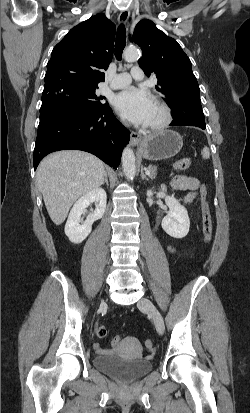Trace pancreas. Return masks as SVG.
<instances>
[{
  "mask_svg": "<svg viewBox=\"0 0 250 413\" xmlns=\"http://www.w3.org/2000/svg\"><path fill=\"white\" fill-rule=\"evenodd\" d=\"M147 170L150 171L149 177L151 179H154L156 177V174H157V167L153 166V165H150V166H148Z\"/></svg>",
  "mask_w": 250,
  "mask_h": 413,
  "instance_id": "cf45deb5",
  "label": "pancreas"
}]
</instances>
